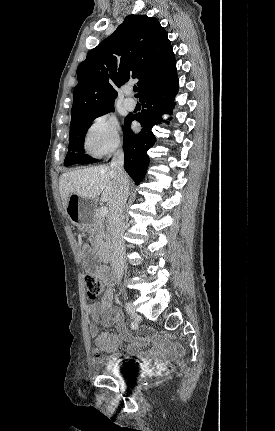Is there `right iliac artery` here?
Wrapping results in <instances>:
<instances>
[{
	"mask_svg": "<svg viewBox=\"0 0 275 431\" xmlns=\"http://www.w3.org/2000/svg\"><path fill=\"white\" fill-rule=\"evenodd\" d=\"M137 327H138L137 323H135V322L131 323V328L132 329H136Z\"/></svg>",
	"mask_w": 275,
	"mask_h": 431,
	"instance_id": "1",
	"label": "right iliac artery"
}]
</instances>
